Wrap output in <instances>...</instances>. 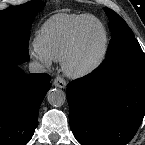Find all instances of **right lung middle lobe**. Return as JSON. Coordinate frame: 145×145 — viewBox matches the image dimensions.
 Returning <instances> with one entry per match:
<instances>
[{"label": "right lung middle lobe", "mask_w": 145, "mask_h": 145, "mask_svg": "<svg viewBox=\"0 0 145 145\" xmlns=\"http://www.w3.org/2000/svg\"><path fill=\"white\" fill-rule=\"evenodd\" d=\"M43 1L27 3L0 11V67L19 65L29 60L30 28Z\"/></svg>", "instance_id": "obj_1"}]
</instances>
